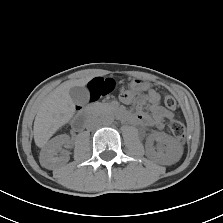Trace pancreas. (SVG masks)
I'll use <instances>...</instances> for the list:
<instances>
[{
	"label": "pancreas",
	"mask_w": 223,
	"mask_h": 223,
	"mask_svg": "<svg viewBox=\"0 0 223 223\" xmlns=\"http://www.w3.org/2000/svg\"><path fill=\"white\" fill-rule=\"evenodd\" d=\"M108 106L109 105L107 103H96V104H94V109L98 110V111H102V110L108 108Z\"/></svg>",
	"instance_id": "cf45deb5"
}]
</instances>
